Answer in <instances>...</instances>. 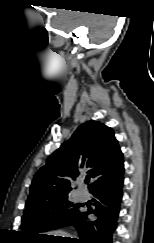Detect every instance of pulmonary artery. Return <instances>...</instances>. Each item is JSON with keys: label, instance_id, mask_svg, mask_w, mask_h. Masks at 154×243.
Here are the masks:
<instances>
[{"label": "pulmonary artery", "instance_id": "1", "mask_svg": "<svg viewBox=\"0 0 154 243\" xmlns=\"http://www.w3.org/2000/svg\"><path fill=\"white\" fill-rule=\"evenodd\" d=\"M78 197H79L80 200L84 201L88 198V193L85 192V191H81V192H79Z\"/></svg>", "mask_w": 154, "mask_h": 243}]
</instances>
